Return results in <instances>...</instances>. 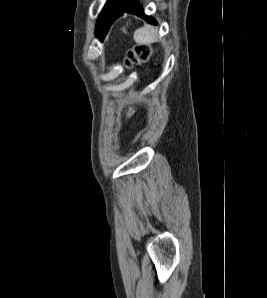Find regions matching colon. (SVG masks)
Listing matches in <instances>:
<instances>
[{
    "instance_id": "5ec220e1",
    "label": "colon",
    "mask_w": 267,
    "mask_h": 298,
    "mask_svg": "<svg viewBox=\"0 0 267 298\" xmlns=\"http://www.w3.org/2000/svg\"><path fill=\"white\" fill-rule=\"evenodd\" d=\"M152 54V48L148 45L138 44L131 48L126 55L125 65L132 67L134 65L146 62Z\"/></svg>"
}]
</instances>
